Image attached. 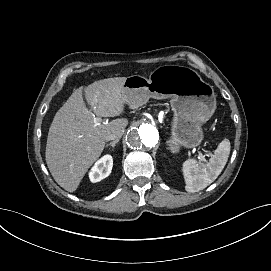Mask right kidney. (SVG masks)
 <instances>
[{
    "label": "right kidney",
    "instance_id": "obj_1",
    "mask_svg": "<svg viewBox=\"0 0 271 271\" xmlns=\"http://www.w3.org/2000/svg\"><path fill=\"white\" fill-rule=\"evenodd\" d=\"M113 167V158L111 155H104L100 158L89 172L90 181L93 183L99 182L108 177Z\"/></svg>",
    "mask_w": 271,
    "mask_h": 271
}]
</instances>
